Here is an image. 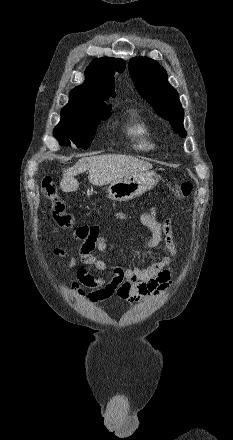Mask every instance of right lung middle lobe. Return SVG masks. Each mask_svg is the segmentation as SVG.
Listing matches in <instances>:
<instances>
[{"mask_svg": "<svg viewBox=\"0 0 233 440\" xmlns=\"http://www.w3.org/2000/svg\"><path fill=\"white\" fill-rule=\"evenodd\" d=\"M111 109L87 106H65L61 121L54 129V136L60 145L86 149L90 146L100 120L110 117Z\"/></svg>", "mask_w": 233, "mask_h": 440, "instance_id": "right-lung-middle-lobe-1", "label": "right lung middle lobe"}]
</instances>
